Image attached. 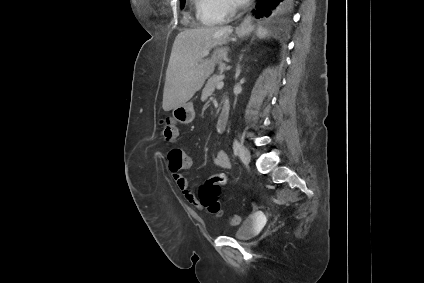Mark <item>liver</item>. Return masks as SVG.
Returning <instances> with one entry per match:
<instances>
[{"label":"liver","instance_id":"obj_1","mask_svg":"<svg viewBox=\"0 0 424 283\" xmlns=\"http://www.w3.org/2000/svg\"><path fill=\"white\" fill-rule=\"evenodd\" d=\"M232 32L231 26L197 27L176 36L166 71L164 111L187 103L201 89L215 66L226 58L228 48L222 44ZM212 48L211 58L204 59L203 52Z\"/></svg>","mask_w":424,"mask_h":283}]
</instances>
